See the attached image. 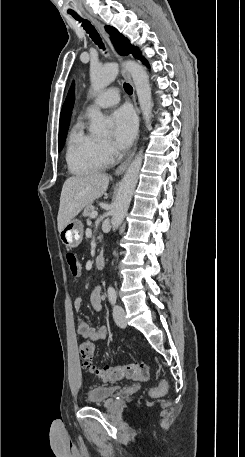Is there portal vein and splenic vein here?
<instances>
[{"instance_id":"obj_1","label":"portal vein and splenic vein","mask_w":245,"mask_h":457,"mask_svg":"<svg viewBox=\"0 0 245 457\" xmlns=\"http://www.w3.org/2000/svg\"><path fill=\"white\" fill-rule=\"evenodd\" d=\"M98 212L97 210H93V212H91L90 216L91 218H95V216H97Z\"/></svg>"}]
</instances>
